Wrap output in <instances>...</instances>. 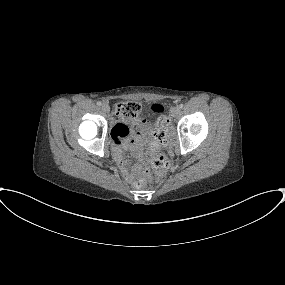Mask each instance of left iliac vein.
Masks as SVG:
<instances>
[{"label": "left iliac vein", "instance_id": "left-iliac-vein-1", "mask_svg": "<svg viewBox=\"0 0 285 285\" xmlns=\"http://www.w3.org/2000/svg\"><path fill=\"white\" fill-rule=\"evenodd\" d=\"M179 113H180V108H179V107H173V108L171 109V116H172V117L178 116Z\"/></svg>", "mask_w": 285, "mask_h": 285}]
</instances>
